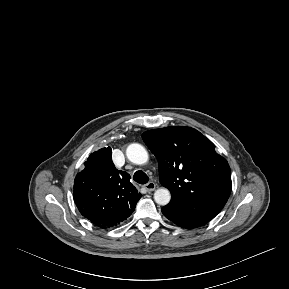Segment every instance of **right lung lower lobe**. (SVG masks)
<instances>
[{
    "instance_id": "98d812e1",
    "label": "right lung lower lobe",
    "mask_w": 289,
    "mask_h": 289,
    "mask_svg": "<svg viewBox=\"0 0 289 289\" xmlns=\"http://www.w3.org/2000/svg\"><path fill=\"white\" fill-rule=\"evenodd\" d=\"M134 208H128V209H124L121 210L118 214H116L115 216H112L110 218H107L105 220H93V219H89L93 224H95L96 226L106 229L108 227H112V226H116L118 223H120L121 221L125 220L126 218H128L132 212L134 211Z\"/></svg>"
}]
</instances>
